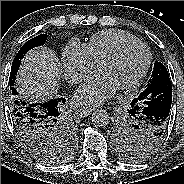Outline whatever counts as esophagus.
<instances>
[{"instance_id": "obj_1", "label": "esophagus", "mask_w": 184, "mask_h": 184, "mask_svg": "<svg viewBox=\"0 0 184 184\" xmlns=\"http://www.w3.org/2000/svg\"><path fill=\"white\" fill-rule=\"evenodd\" d=\"M94 109L91 107H80L79 111L83 116L89 115Z\"/></svg>"}]
</instances>
